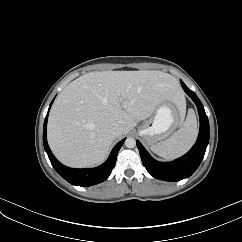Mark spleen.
<instances>
[{
    "label": "spleen",
    "instance_id": "3e777b00",
    "mask_svg": "<svg viewBox=\"0 0 242 242\" xmlns=\"http://www.w3.org/2000/svg\"><path fill=\"white\" fill-rule=\"evenodd\" d=\"M198 125L194 112H189L182 126L170 138L156 143L150 149L165 159H174L186 153L195 143Z\"/></svg>",
    "mask_w": 242,
    "mask_h": 242
}]
</instances>
